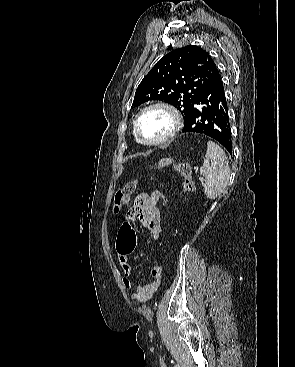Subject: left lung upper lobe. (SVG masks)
<instances>
[{"instance_id": "5c2ea615", "label": "left lung upper lobe", "mask_w": 295, "mask_h": 367, "mask_svg": "<svg viewBox=\"0 0 295 367\" xmlns=\"http://www.w3.org/2000/svg\"><path fill=\"white\" fill-rule=\"evenodd\" d=\"M216 64L208 52L195 45L175 49L162 57L143 78L132 108L162 100L177 108L185 119Z\"/></svg>"}]
</instances>
